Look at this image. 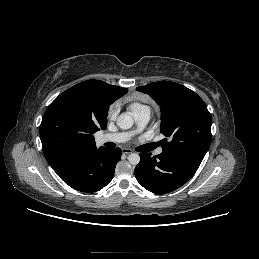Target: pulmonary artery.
Wrapping results in <instances>:
<instances>
[{
	"label": "pulmonary artery",
	"mask_w": 259,
	"mask_h": 259,
	"mask_svg": "<svg viewBox=\"0 0 259 259\" xmlns=\"http://www.w3.org/2000/svg\"><path fill=\"white\" fill-rule=\"evenodd\" d=\"M135 121L137 123V130L131 132H121V133H112V134H104L99 137V141L101 143L114 142V143H124L128 141L135 132L141 130L150 119V109L148 107H144L132 112ZM162 148L156 150V154H161Z\"/></svg>",
	"instance_id": "e3ab8cb5"
}]
</instances>
